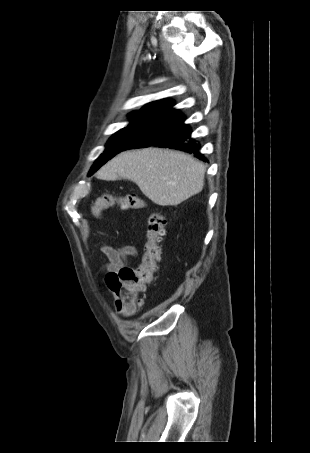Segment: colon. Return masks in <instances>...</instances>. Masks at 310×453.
<instances>
[{"label": "colon", "instance_id": "1", "mask_svg": "<svg viewBox=\"0 0 310 453\" xmlns=\"http://www.w3.org/2000/svg\"><path fill=\"white\" fill-rule=\"evenodd\" d=\"M119 207L122 211L140 210L143 200L136 195L117 196L104 194L92 204V213L100 217L105 211ZM165 218L159 213L150 216L144 244L143 258L136 268L123 267L118 273H110L105 282L114 296L116 310L124 315L135 313L141 306L138 294L150 284L161 259V243L165 234Z\"/></svg>", "mask_w": 310, "mask_h": 453}]
</instances>
